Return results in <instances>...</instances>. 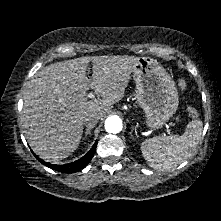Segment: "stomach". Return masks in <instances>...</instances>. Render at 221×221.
I'll return each mask as SVG.
<instances>
[{
  "instance_id": "obj_1",
  "label": "stomach",
  "mask_w": 221,
  "mask_h": 221,
  "mask_svg": "<svg viewBox=\"0 0 221 221\" xmlns=\"http://www.w3.org/2000/svg\"><path fill=\"white\" fill-rule=\"evenodd\" d=\"M136 99L143 109L149 128L159 129L178 108L175 82L154 59L139 57L133 67Z\"/></svg>"
}]
</instances>
